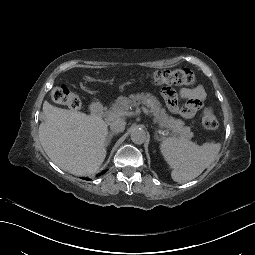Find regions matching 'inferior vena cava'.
<instances>
[{"mask_svg":"<svg viewBox=\"0 0 255 255\" xmlns=\"http://www.w3.org/2000/svg\"><path fill=\"white\" fill-rule=\"evenodd\" d=\"M126 126V122L122 120H115L110 124V129L113 133L124 132Z\"/></svg>","mask_w":255,"mask_h":255,"instance_id":"1","label":"inferior vena cava"}]
</instances>
